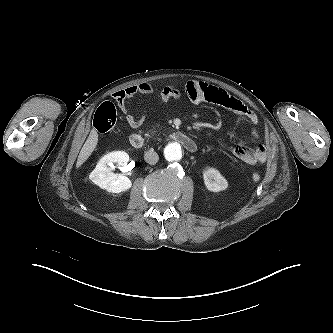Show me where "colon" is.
I'll return each instance as SVG.
<instances>
[{
    "instance_id": "obj_1",
    "label": "colon",
    "mask_w": 333,
    "mask_h": 333,
    "mask_svg": "<svg viewBox=\"0 0 333 333\" xmlns=\"http://www.w3.org/2000/svg\"><path fill=\"white\" fill-rule=\"evenodd\" d=\"M117 122L115 106L110 102L102 103L96 110L93 118V125L97 131L105 133L111 131ZM261 176L258 173L252 174L254 182L260 181Z\"/></svg>"
}]
</instances>
